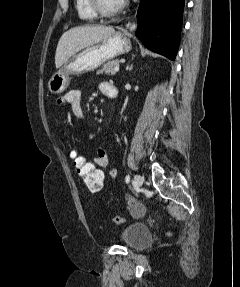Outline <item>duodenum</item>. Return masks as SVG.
Here are the masks:
<instances>
[{
  "instance_id": "obj_1",
  "label": "duodenum",
  "mask_w": 240,
  "mask_h": 287,
  "mask_svg": "<svg viewBox=\"0 0 240 287\" xmlns=\"http://www.w3.org/2000/svg\"><path fill=\"white\" fill-rule=\"evenodd\" d=\"M118 94V90L116 86H113L112 90L108 93L109 98H116Z\"/></svg>"
}]
</instances>
